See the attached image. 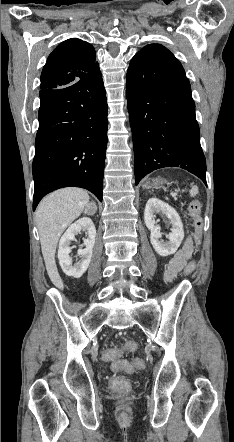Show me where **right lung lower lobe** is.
<instances>
[{"mask_svg":"<svg viewBox=\"0 0 234 442\" xmlns=\"http://www.w3.org/2000/svg\"><path fill=\"white\" fill-rule=\"evenodd\" d=\"M39 95L33 210L46 194L70 186L102 201L108 106L99 67L74 84L41 89Z\"/></svg>","mask_w":234,"mask_h":442,"instance_id":"obj_1","label":"right lung lower lobe"}]
</instances>
